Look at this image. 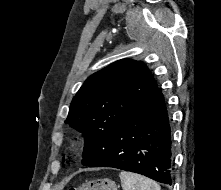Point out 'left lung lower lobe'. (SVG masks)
<instances>
[{
    "label": "left lung lower lobe",
    "mask_w": 221,
    "mask_h": 190,
    "mask_svg": "<svg viewBox=\"0 0 221 190\" xmlns=\"http://www.w3.org/2000/svg\"><path fill=\"white\" fill-rule=\"evenodd\" d=\"M171 130L161 88L112 133L89 167H113L172 183Z\"/></svg>",
    "instance_id": "obj_1"
}]
</instances>
